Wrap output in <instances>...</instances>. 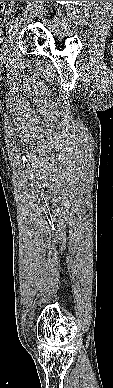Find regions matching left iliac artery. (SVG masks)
Segmentation results:
<instances>
[{"label": "left iliac artery", "instance_id": "44dca946", "mask_svg": "<svg viewBox=\"0 0 113 388\" xmlns=\"http://www.w3.org/2000/svg\"><path fill=\"white\" fill-rule=\"evenodd\" d=\"M22 18H15L11 21H9L6 25V30L8 32H11L13 29V26L18 25L21 22Z\"/></svg>", "mask_w": 113, "mask_h": 388}]
</instances>
